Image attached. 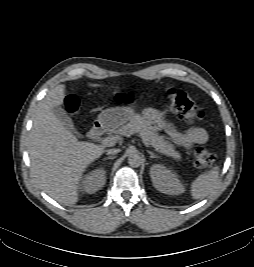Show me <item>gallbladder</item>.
Listing matches in <instances>:
<instances>
[{"label": "gallbladder", "instance_id": "bac80fb5", "mask_svg": "<svg viewBox=\"0 0 254 267\" xmlns=\"http://www.w3.org/2000/svg\"><path fill=\"white\" fill-rule=\"evenodd\" d=\"M52 111L66 129H68L71 132L77 133L74 128L72 119L68 116V114L62 107L56 106L52 109Z\"/></svg>", "mask_w": 254, "mask_h": 267}]
</instances>
